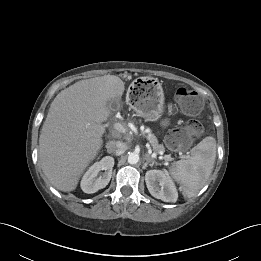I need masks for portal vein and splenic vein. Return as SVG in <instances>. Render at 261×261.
<instances>
[{"label": "portal vein and splenic vein", "mask_w": 261, "mask_h": 261, "mask_svg": "<svg viewBox=\"0 0 261 261\" xmlns=\"http://www.w3.org/2000/svg\"><path fill=\"white\" fill-rule=\"evenodd\" d=\"M114 129H116L117 131H119L120 133H126V128L119 122L114 123L113 125ZM149 153H151V149H149ZM153 158L156 157V153H152L151 155ZM167 158H169V155H166Z\"/></svg>", "instance_id": "1"}]
</instances>
